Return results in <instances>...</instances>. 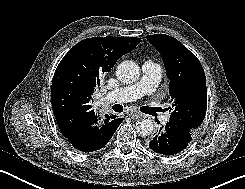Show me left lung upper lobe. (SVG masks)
<instances>
[{"mask_svg": "<svg viewBox=\"0 0 245 189\" xmlns=\"http://www.w3.org/2000/svg\"><path fill=\"white\" fill-rule=\"evenodd\" d=\"M148 41L162 55L172 110L167 124L181 134H193L205 117L206 77L197 57L177 39L165 35H148Z\"/></svg>", "mask_w": 245, "mask_h": 189, "instance_id": "left-lung-upper-lobe-1", "label": "left lung upper lobe"}]
</instances>
